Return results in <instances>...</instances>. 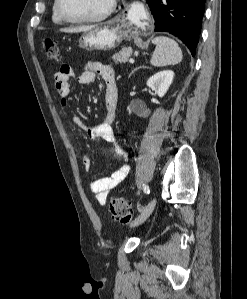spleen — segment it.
Masks as SVG:
<instances>
[{
    "label": "spleen",
    "instance_id": "3e777b00",
    "mask_svg": "<svg viewBox=\"0 0 247 299\" xmlns=\"http://www.w3.org/2000/svg\"><path fill=\"white\" fill-rule=\"evenodd\" d=\"M152 43L156 45L150 61L153 66L176 65L182 61V51L173 39L159 36Z\"/></svg>",
    "mask_w": 247,
    "mask_h": 299
}]
</instances>
